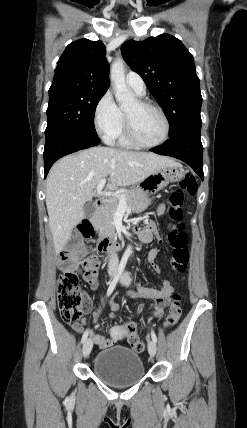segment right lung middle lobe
<instances>
[{"label":"right lung middle lobe","mask_w":247,"mask_h":428,"mask_svg":"<svg viewBox=\"0 0 247 428\" xmlns=\"http://www.w3.org/2000/svg\"><path fill=\"white\" fill-rule=\"evenodd\" d=\"M104 93L85 89L49 93L48 125L45 135L68 131L97 136L94 115L96 106Z\"/></svg>","instance_id":"right-lung-middle-lobe-1"}]
</instances>
